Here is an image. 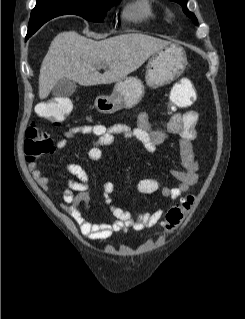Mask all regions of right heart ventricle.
<instances>
[{
  "label": "right heart ventricle",
  "instance_id": "right-heart-ventricle-1",
  "mask_svg": "<svg viewBox=\"0 0 245 319\" xmlns=\"http://www.w3.org/2000/svg\"><path fill=\"white\" fill-rule=\"evenodd\" d=\"M156 16L157 11L152 0H133L123 11V17L133 22H149Z\"/></svg>",
  "mask_w": 245,
  "mask_h": 319
}]
</instances>
